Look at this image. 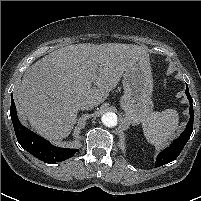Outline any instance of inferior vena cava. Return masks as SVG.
<instances>
[{
  "label": "inferior vena cava",
  "mask_w": 201,
  "mask_h": 201,
  "mask_svg": "<svg viewBox=\"0 0 201 201\" xmlns=\"http://www.w3.org/2000/svg\"><path fill=\"white\" fill-rule=\"evenodd\" d=\"M94 107L93 102L91 101H82L78 104L79 110H89Z\"/></svg>",
  "instance_id": "obj_1"
}]
</instances>
